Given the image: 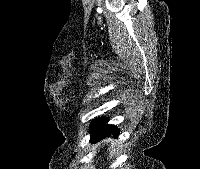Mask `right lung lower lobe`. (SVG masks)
<instances>
[{"label":"right lung lower lobe","mask_w":200,"mask_h":169,"mask_svg":"<svg viewBox=\"0 0 200 169\" xmlns=\"http://www.w3.org/2000/svg\"><path fill=\"white\" fill-rule=\"evenodd\" d=\"M107 120L108 118L103 117L102 119L95 120L92 123L90 128L92 134L90 138L91 142H96L98 140H101L102 138L110 135L111 133L118 135L119 131L117 127L106 124Z\"/></svg>","instance_id":"1"}]
</instances>
